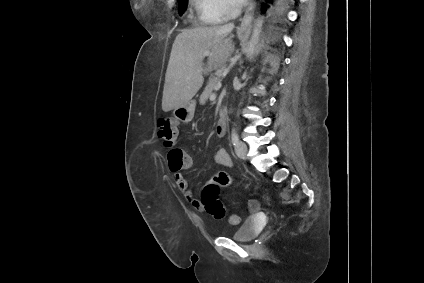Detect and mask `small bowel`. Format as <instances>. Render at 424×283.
Listing matches in <instances>:
<instances>
[{"label": "small bowel", "instance_id": "c3829d8e", "mask_svg": "<svg viewBox=\"0 0 424 283\" xmlns=\"http://www.w3.org/2000/svg\"><path fill=\"white\" fill-rule=\"evenodd\" d=\"M189 168L192 165V159L189 155ZM215 162L223 167H231L232 166V159L228 152L224 148H219L215 153ZM185 168V169H187ZM173 178L175 180V183L178 187V189L182 192L183 196L185 197L186 201L189 202L194 208L197 210H203L202 203L196 198L193 191L191 190L189 186L188 180L185 178V176L182 174L181 171L173 172Z\"/></svg>", "mask_w": 424, "mask_h": 283}]
</instances>
